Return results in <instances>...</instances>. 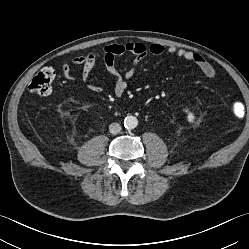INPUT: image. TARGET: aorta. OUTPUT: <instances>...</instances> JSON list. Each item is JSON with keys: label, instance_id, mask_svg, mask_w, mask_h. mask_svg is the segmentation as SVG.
<instances>
[{"label": "aorta", "instance_id": "762f6f07", "mask_svg": "<svg viewBox=\"0 0 249 249\" xmlns=\"http://www.w3.org/2000/svg\"><path fill=\"white\" fill-rule=\"evenodd\" d=\"M138 125V120L135 116H127L124 119V127L127 129H134Z\"/></svg>", "mask_w": 249, "mask_h": 249}]
</instances>
